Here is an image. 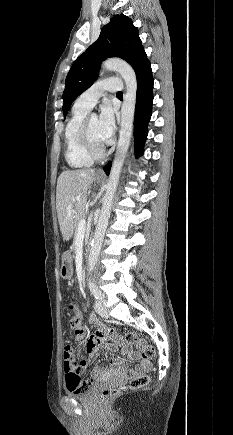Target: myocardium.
Segmentation results:
<instances>
[{
	"mask_svg": "<svg viewBox=\"0 0 233 435\" xmlns=\"http://www.w3.org/2000/svg\"><path fill=\"white\" fill-rule=\"evenodd\" d=\"M89 119L90 118L86 117L81 124L79 131L80 141L83 150L89 158L92 160H101L107 155L108 150L106 146L100 149L93 146L89 135Z\"/></svg>",
	"mask_w": 233,
	"mask_h": 435,
	"instance_id": "f54148a6",
	"label": "myocardium"
}]
</instances>
